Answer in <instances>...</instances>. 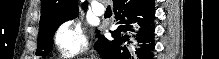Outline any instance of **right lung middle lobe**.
I'll use <instances>...</instances> for the list:
<instances>
[{"label": "right lung middle lobe", "mask_w": 219, "mask_h": 59, "mask_svg": "<svg viewBox=\"0 0 219 59\" xmlns=\"http://www.w3.org/2000/svg\"><path fill=\"white\" fill-rule=\"evenodd\" d=\"M73 17H69L63 20H59L56 22H52L46 25L43 28H39V36H38V47L36 50V55H45L48 54L52 48L53 44V35L57 28L64 22L73 19Z\"/></svg>", "instance_id": "obj_1"}]
</instances>
